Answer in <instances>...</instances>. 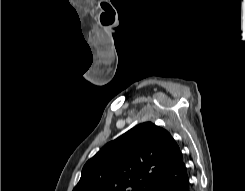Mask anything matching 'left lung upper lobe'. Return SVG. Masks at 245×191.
Instances as JSON below:
<instances>
[{
	"label": "left lung upper lobe",
	"instance_id": "5c2ea615",
	"mask_svg": "<svg viewBox=\"0 0 245 191\" xmlns=\"http://www.w3.org/2000/svg\"><path fill=\"white\" fill-rule=\"evenodd\" d=\"M180 155L167 130L138 124L87 161L73 191H153Z\"/></svg>",
	"mask_w": 245,
	"mask_h": 191
}]
</instances>
